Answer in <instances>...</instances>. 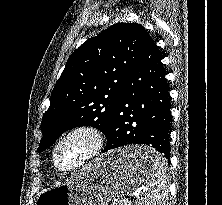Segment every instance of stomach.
I'll list each match as a JSON object with an SVG mask.
<instances>
[{
	"label": "stomach",
	"mask_w": 222,
	"mask_h": 205,
	"mask_svg": "<svg viewBox=\"0 0 222 205\" xmlns=\"http://www.w3.org/2000/svg\"><path fill=\"white\" fill-rule=\"evenodd\" d=\"M157 152L147 146H130L103 154L68 182L42 190L36 205H107L125 196L146 180L145 158Z\"/></svg>",
	"instance_id": "stomach-1"
}]
</instances>
